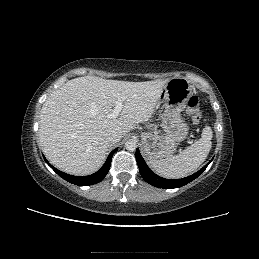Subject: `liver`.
Returning <instances> with one entry per match:
<instances>
[{
  "instance_id": "1",
  "label": "liver",
  "mask_w": 259,
  "mask_h": 259,
  "mask_svg": "<svg viewBox=\"0 0 259 259\" xmlns=\"http://www.w3.org/2000/svg\"><path fill=\"white\" fill-rule=\"evenodd\" d=\"M168 81L128 82L95 76L67 81L41 109L39 144L47 159L72 175L96 172L110 146L107 134L115 130L123 137L136 124L148 121ZM117 100H122L123 108L119 117L111 118Z\"/></svg>"
}]
</instances>
